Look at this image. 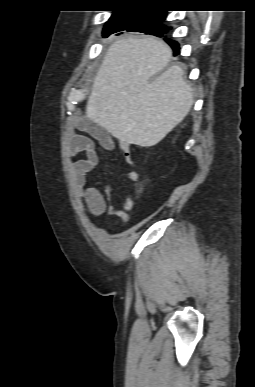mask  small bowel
<instances>
[{"instance_id":"small-bowel-1","label":"small bowel","mask_w":255,"mask_h":387,"mask_svg":"<svg viewBox=\"0 0 255 387\" xmlns=\"http://www.w3.org/2000/svg\"><path fill=\"white\" fill-rule=\"evenodd\" d=\"M71 127L73 133L68 144L70 157H76L80 153L85 154L84 158L75 160L71 166L72 183L76 196L84 201L90 214L99 216L109 211L118 216L124 224H127L129 222L127 211L132 206L130 198H125L121 203V208L116 209L110 203L112 197L110 186L105 187L104 194L94 186H87L88 174L95 168L99 160L95 141L98 142L102 150L113 151L116 148L114 140L105 128L88 119H74ZM118 147L122 151L126 163L134 165L129 145L120 142ZM126 179L130 182H136L139 179V173L136 170H130L126 174Z\"/></svg>"}]
</instances>
